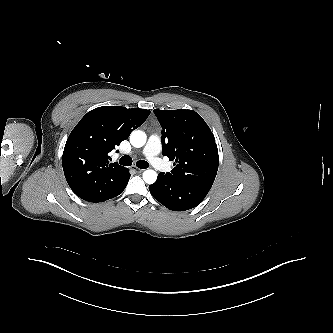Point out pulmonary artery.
<instances>
[{"mask_svg":"<svg viewBox=\"0 0 333 333\" xmlns=\"http://www.w3.org/2000/svg\"><path fill=\"white\" fill-rule=\"evenodd\" d=\"M161 149V139L158 134H152L146 146L143 149V155L147 157L152 166L160 171H170V166L158 157V154Z\"/></svg>","mask_w":333,"mask_h":333,"instance_id":"obj_1","label":"pulmonary artery"}]
</instances>
